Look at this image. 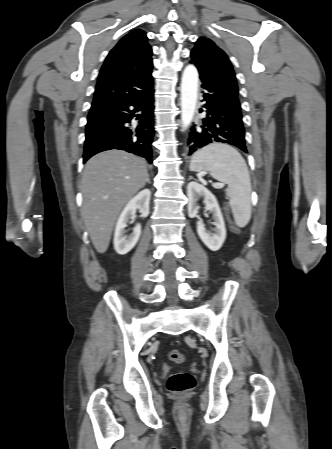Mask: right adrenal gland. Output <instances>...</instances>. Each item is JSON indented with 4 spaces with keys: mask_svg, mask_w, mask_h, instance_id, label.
I'll return each mask as SVG.
<instances>
[{
    "mask_svg": "<svg viewBox=\"0 0 332 449\" xmlns=\"http://www.w3.org/2000/svg\"><path fill=\"white\" fill-rule=\"evenodd\" d=\"M146 182L150 184L149 175H148V177H147V181H146Z\"/></svg>",
    "mask_w": 332,
    "mask_h": 449,
    "instance_id": "right-adrenal-gland-1",
    "label": "right adrenal gland"
}]
</instances>
